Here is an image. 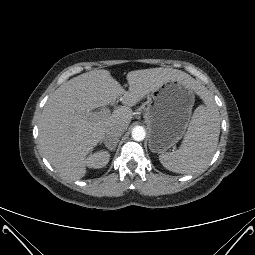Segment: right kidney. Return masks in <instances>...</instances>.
<instances>
[{"instance_id":"obj_1","label":"right kidney","mask_w":255,"mask_h":255,"mask_svg":"<svg viewBox=\"0 0 255 255\" xmlns=\"http://www.w3.org/2000/svg\"><path fill=\"white\" fill-rule=\"evenodd\" d=\"M110 155L105 151H98L91 154L86 159V165L90 168L99 169L105 167L109 162Z\"/></svg>"}]
</instances>
